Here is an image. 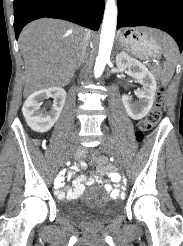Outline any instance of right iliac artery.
Masks as SVG:
<instances>
[{
    "mask_svg": "<svg viewBox=\"0 0 183 246\" xmlns=\"http://www.w3.org/2000/svg\"><path fill=\"white\" fill-rule=\"evenodd\" d=\"M60 178H61V177H58V178L55 180V187H57V185H58V183H59V181H60Z\"/></svg>",
    "mask_w": 183,
    "mask_h": 246,
    "instance_id": "82829eb1",
    "label": "right iliac artery"
}]
</instances>
